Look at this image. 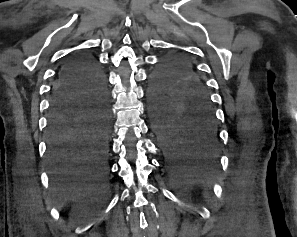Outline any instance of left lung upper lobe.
Masks as SVG:
<instances>
[{
	"label": "left lung upper lobe",
	"instance_id": "left-lung-upper-lobe-1",
	"mask_svg": "<svg viewBox=\"0 0 297 237\" xmlns=\"http://www.w3.org/2000/svg\"><path fill=\"white\" fill-rule=\"evenodd\" d=\"M149 97L151 105L180 107L189 101L211 105L210 96L195 68L183 57L173 55L153 73Z\"/></svg>",
	"mask_w": 297,
	"mask_h": 237
}]
</instances>
